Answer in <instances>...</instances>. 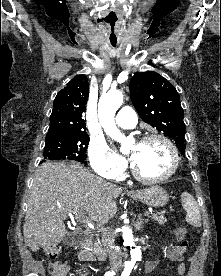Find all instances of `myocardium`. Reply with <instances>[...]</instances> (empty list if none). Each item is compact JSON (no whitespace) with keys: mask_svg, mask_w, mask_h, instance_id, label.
Wrapping results in <instances>:
<instances>
[{"mask_svg":"<svg viewBox=\"0 0 221 276\" xmlns=\"http://www.w3.org/2000/svg\"><path fill=\"white\" fill-rule=\"evenodd\" d=\"M151 140H160V141L164 142L166 144V146L168 147V149L170 150L171 157H172V164H171L170 169L168 170V172H166L165 174H163L161 176L149 177V176H145L144 174H142L138 170V168L136 167L134 162H132L131 163V171H132V174L134 175V177L136 179H138L139 181H142L145 183H159V182L165 181V180L169 179L170 177H172L178 170L179 160H180L179 152H178L176 145L173 143V141L163 134H159V133L147 134L144 137H142L141 142H147V141H151Z\"/></svg>","mask_w":221,"mask_h":276,"instance_id":"obj_1","label":"myocardium"}]
</instances>
